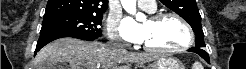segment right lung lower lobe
Returning <instances> with one entry per match:
<instances>
[{
  "label": "right lung lower lobe",
  "mask_w": 246,
  "mask_h": 69,
  "mask_svg": "<svg viewBox=\"0 0 246 69\" xmlns=\"http://www.w3.org/2000/svg\"><path fill=\"white\" fill-rule=\"evenodd\" d=\"M62 37H73V38L87 40V41H92V40H96V39L101 38V36H98V37H81V36H77V35H73V34H45V35H40V38L37 42L35 55H36V52H38L43 46H45L46 44H48L49 42H51L53 40H56V39L62 38Z\"/></svg>",
  "instance_id": "98d812e1"
}]
</instances>
